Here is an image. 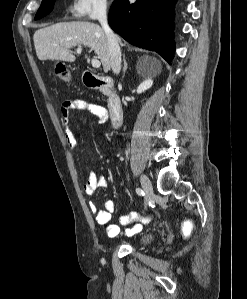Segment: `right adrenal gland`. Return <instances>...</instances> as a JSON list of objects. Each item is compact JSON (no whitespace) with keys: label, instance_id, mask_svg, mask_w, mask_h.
<instances>
[{"label":"right adrenal gland","instance_id":"obj_1","mask_svg":"<svg viewBox=\"0 0 247 299\" xmlns=\"http://www.w3.org/2000/svg\"><path fill=\"white\" fill-rule=\"evenodd\" d=\"M128 64L125 58V54H123V76H125L126 70H127Z\"/></svg>","mask_w":247,"mask_h":299}]
</instances>
